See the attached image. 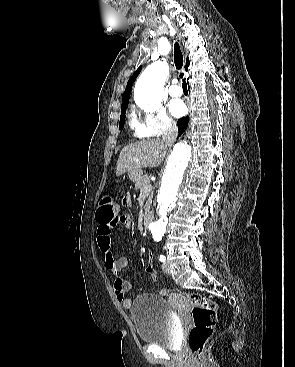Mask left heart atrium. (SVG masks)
I'll list each match as a JSON object with an SVG mask.
<instances>
[{
    "instance_id": "39dd6f15",
    "label": "left heart atrium",
    "mask_w": 295,
    "mask_h": 367,
    "mask_svg": "<svg viewBox=\"0 0 295 367\" xmlns=\"http://www.w3.org/2000/svg\"><path fill=\"white\" fill-rule=\"evenodd\" d=\"M169 108L171 113L176 117L182 116L186 111L184 103L180 100L172 101L169 105Z\"/></svg>"
}]
</instances>
